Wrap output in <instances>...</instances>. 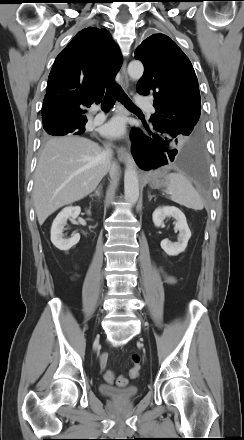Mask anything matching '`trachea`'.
<instances>
[{
	"label": "trachea",
	"instance_id": "3493384b",
	"mask_svg": "<svg viewBox=\"0 0 244 440\" xmlns=\"http://www.w3.org/2000/svg\"><path fill=\"white\" fill-rule=\"evenodd\" d=\"M116 99L127 108L138 109L137 106L130 100L123 89L118 85L109 87L104 96L102 107L104 110H109L115 103Z\"/></svg>",
	"mask_w": 244,
	"mask_h": 440
}]
</instances>
